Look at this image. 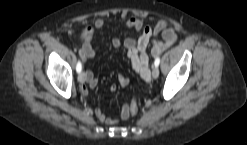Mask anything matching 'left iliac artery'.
Masks as SVG:
<instances>
[{
	"mask_svg": "<svg viewBox=\"0 0 247 145\" xmlns=\"http://www.w3.org/2000/svg\"><path fill=\"white\" fill-rule=\"evenodd\" d=\"M159 63H160V57H157V58L155 59L154 65H155V66H159Z\"/></svg>",
	"mask_w": 247,
	"mask_h": 145,
	"instance_id": "left-iliac-artery-1",
	"label": "left iliac artery"
}]
</instances>
